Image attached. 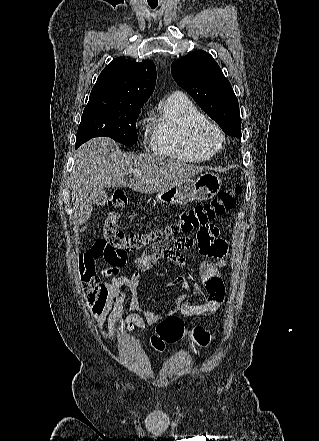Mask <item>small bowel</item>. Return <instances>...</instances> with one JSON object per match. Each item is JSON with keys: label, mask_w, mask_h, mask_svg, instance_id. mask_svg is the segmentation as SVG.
<instances>
[{"label": "small bowel", "mask_w": 319, "mask_h": 441, "mask_svg": "<svg viewBox=\"0 0 319 441\" xmlns=\"http://www.w3.org/2000/svg\"><path fill=\"white\" fill-rule=\"evenodd\" d=\"M219 229L212 224L207 225L201 235L196 238L182 237L159 242L145 250L135 261L136 271L122 273L123 265L112 264L96 272L94 269L93 284L86 288V303L96 321L99 335L105 341L115 340L118 335V323L123 316V305L127 297L130 299L132 313L125 317V326L129 332L144 329L146 325L159 323L163 318L179 314L186 317L202 316L217 312L225 299V285L219 268L226 266L225 257L228 253L227 243L219 237ZM197 248L204 257L200 264L199 274L207 294L203 304L187 302V293L192 286L182 272L173 282L180 285L182 292L177 295L174 305L168 310L158 313L146 308L139 297L140 274L150 270L158 261L165 259L175 263L181 270L185 268L182 250ZM103 254L99 243L79 256V264H93ZM101 278H107L101 282ZM108 322L109 331L104 330Z\"/></svg>", "instance_id": "1"}]
</instances>
